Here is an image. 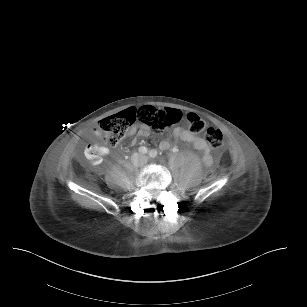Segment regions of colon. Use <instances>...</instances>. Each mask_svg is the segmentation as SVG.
Listing matches in <instances>:
<instances>
[{"instance_id": "1", "label": "colon", "mask_w": 307, "mask_h": 307, "mask_svg": "<svg viewBox=\"0 0 307 307\" xmlns=\"http://www.w3.org/2000/svg\"><path fill=\"white\" fill-rule=\"evenodd\" d=\"M124 116H134L135 122L139 121L153 132L160 133L178 124L182 120L183 114L180 110L174 108L142 107L107 116L99 122V130L103 133V140L106 145L116 147L124 137L127 128L133 124L124 123ZM185 117L192 132L200 133L204 130L205 122L197 114L190 112ZM204 135L213 150L220 151L222 149L223 134L219 129L208 127Z\"/></svg>"}]
</instances>
